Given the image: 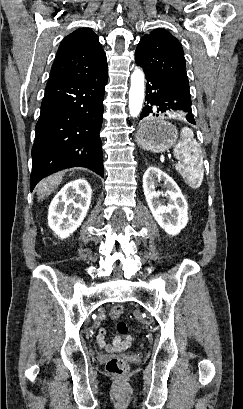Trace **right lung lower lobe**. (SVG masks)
<instances>
[{"mask_svg":"<svg viewBox=\"0 0 243 409\" xmlns=\"http://www.w3.org/2000/svg\"><path fill=\"white\" fill-rule=\"evenodd\" d=\"M108 69L83 80L49 81L32 147L30 190L44 177L70 167H86L100 176L99 136Z\"/></svg>","mask_w":243,"mask_h":409,"instance_id":"right-lung-lower-lobe-1","label":"right lung lower lobe"}]
</instances>
